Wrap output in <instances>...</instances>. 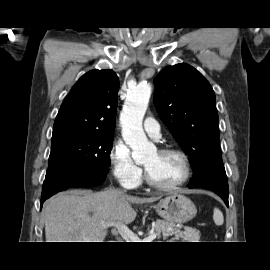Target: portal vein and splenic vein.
Instances as JSON below:
<instances>
[{"label":"portal vein and splenic vein","mask_w":270,"mask_h":270,"mask_svg":"<svg viewBox=\"0 0 270 270\" xmlns=\"http://www.w3.org/2000/svg\"><path fill=\"white\" fill-rule=\"evenodd\" d=\"M102 226L104 228L108 227L116 228L126 242H152L157 236V234L152 233L148 237L141 240L135 233H133L126 225L122 223L118 222L102 223ZM174 233L175 232H171L167 234V236L172 235Z\"/></svg>","instance_id":"18ae733b"}]
</instances>
